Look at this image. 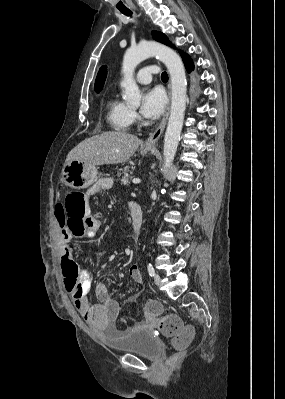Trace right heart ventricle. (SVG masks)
<instances>
[{"label":"right heart ventricle","mask_w":285,"mask_h":399,"mask_svg":"<svg viewBox=\"0 0 285 399\" xmlns=\"http://www.w3.org/2000/svg\"><path fill=\"white\" fill-rule=\"evenodd\" d=\"M107 121L116 131H127L131 124V109L117 97L112 96L106 104Z\"/></svg>","instance_id":"1"}]
</instances>
